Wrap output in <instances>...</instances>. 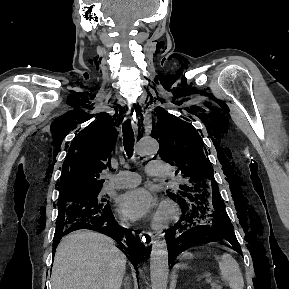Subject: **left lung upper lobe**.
I'll list each match as a JSON object with an SVG mask.
<instances>
[{
  "mask_svg": "<svg viewBox=\"0 0 289 289\" xmlns=\"http://www.w3.org/2000/svg\"><path fill=\"white\" fill-rule=\"evenodd\" d=\"M158 124L153 126L151 136L160 144L161 158L176 165L181 177L179 189L169 192L171 199L185 201L190 196L202 195L205 199L220 197L215 183L213 167L207 159V150L199 133L188 122L156 110Z\"/></svg>",
  "mask_w": 289,
  "mask_h": 289,
  "instance_id": "obj_1",
  "label": "left lung upper lobe"
}]
</instances>
